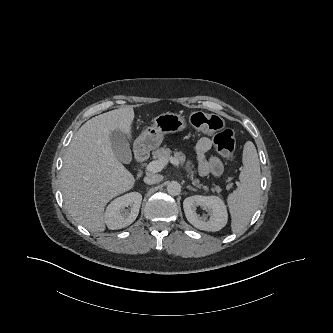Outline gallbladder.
Listing matches in <instances>:
<instances>
[{
    "label": "gallbladder",
    "mask_w": 333,
    "mask_h": 333,
    "mask_svg": "<svg viewBox=\"0 0 333 333\" xmlns=\"http://www.w3.org/2000/svg\"><path fill=\"white\" fill-rule=\"evenodd\" d=\"M110 142L116 158L123 163H130L132 153L126 135L120 130H115L110 134Z\"/></svg>",
    "instance_id": "1"
}]
</instances>
